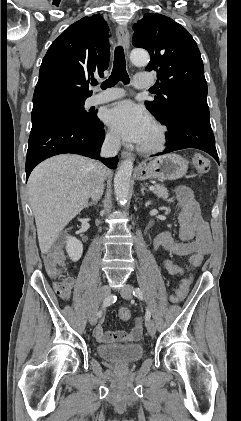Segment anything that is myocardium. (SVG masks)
<instances>
[{"label":"myocardium","mask_w":241,"mask_h":421,"mask_svg":"<svg viewBox=\"0 0 241 421\" xmlns=\"http://www.w3.org/2000/svg\"><path fill=\"white\" fill-rule=\"evenodd\" d=\"M152 127L155 130V139L150 144H141L138 146V150L144 154H154L164 149L167 142V128L159 123L153 122Z\"/></svg>","instance_id":"1"}]
</instances>
